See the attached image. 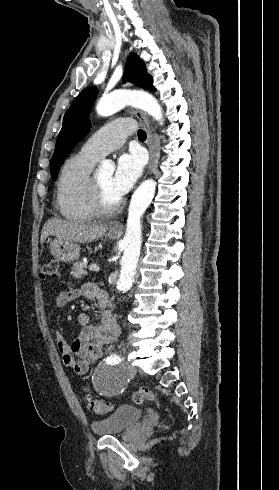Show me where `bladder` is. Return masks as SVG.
<instances>
[{
	"mask_svg": "<svg viewBox=\"0 0 279 490\" xmlns=\"http://www.w3.org/2000/svg\"><path fill=\"white\" fill-rule=\"evenodd\" d=\"M144 411L135 405H119L118 410L103 420L94 421L91 430L95 436H114L120 435L126 430L134 428L140 423Z\"/></svg>",
	"mask_w": 279,
	"mask_h": 490,
	"instance_id": "obj_1",
	"label": "bladder"
}]
</instances>
